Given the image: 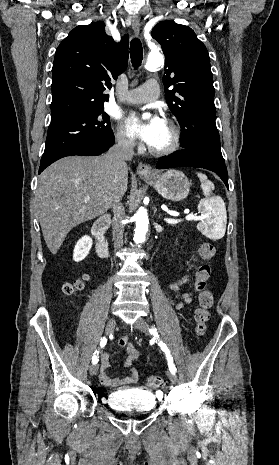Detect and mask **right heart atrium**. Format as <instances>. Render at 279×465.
<instances>
[{"mask_svg": "<svg viewBox=\"0 0 279 465\" xmlns=\"http://www.w3.org/2000/svg\"><path fill=\"white\" fill-rule=\"evenodd\" d=\"M115 137L121 148L131 150L135 147L134 139L122 127L117 129Z\"/></svg>", "mask_w": 279, "mask_h": 465, "instance_id": "1", "label": "right heart atrium"}]
</instances>
